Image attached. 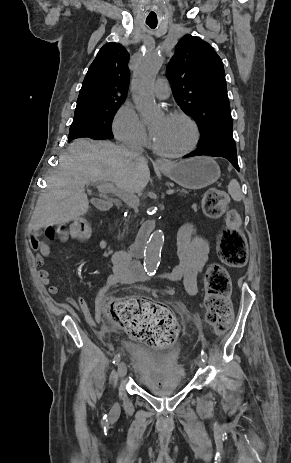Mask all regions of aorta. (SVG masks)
Listing matches in <instances>:
<instances>
[{
    "label": "aorta",
    "instance_id": "aorta-1",
    "mask_svg": "<svg viewBox=\"0 0 291 463\" xmlns=\"http://www.w3.org/2000/svg\"><path fill=\"white\" fill-rule=\"evenodd\" d=\"M163 61V57L157 51H147L134 72L132 98L137 111L146 119L156 113L153 87ZM163 243V232L161 230L154 231L146 245L144 254V268L149 274H154L160 264Z\"/></svg>",
    "mask_w": 291,
    "mask_h": 463
}]
</instances>
